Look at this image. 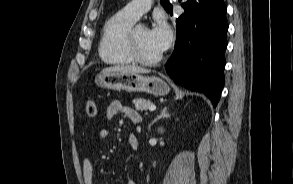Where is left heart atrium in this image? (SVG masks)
<instances>
[{"instance_id":"obj_1","label":"left heart atrium","mask_w":293,"mask_h":184,"mask_svg":"<svg viewBox=\"0 0 293 184\" xmlns=\"http://www.w3.org/2000/svg\"><path fill=\"white\" fill-rule=\"evenodd\" d=\"M149 39L154 47L162 53L165 51L172 40V31L165 21H158L156 25L148 31Z\"/></svg>"}]
</instances>
